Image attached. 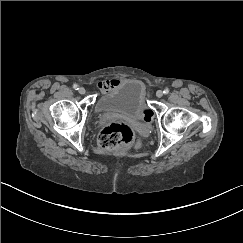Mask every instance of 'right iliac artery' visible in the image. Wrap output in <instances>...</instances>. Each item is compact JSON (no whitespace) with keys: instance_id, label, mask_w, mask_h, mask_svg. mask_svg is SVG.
I'll list each match as a JSON object with an SVG mask.
<instances>
[{"instance_id":"1","label":"right iliac artery","mask_w":243,"mask_h":243,"mask_svg":"<svg viewBox=\"0 0 243 243\" xmlns=\"http://www.w3.org/2000/svg\"><path fill=\"white\" fill-rule=\"evenodd\" d=\"M73 88H74L75 90H78V89H79V86H78L77 84H74V85H73Z\"/></svg>"}]
</instances>
